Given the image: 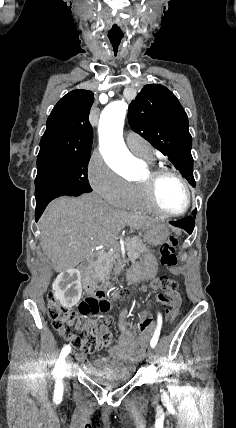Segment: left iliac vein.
Returning <instances> with one entry per match:
<instances>
[{
  "label": "left iliac vein",
  "instance_id": "left-iliac-vein-1",
  "mask_svg": "<svg viewBox=\"0 0 236 428\" xmlns=\"http://www.w3.org/2000/svg\"><path fill=\"white\" fill-rule=\"evenodd\" d=\"M158 356V353L155 350H152L149 353V356L145 358V363L149 365V367H152L154 361L156 360V357Z\"/></svg>",
  "mask_w": 236,
  "mask_h": 428
}]
</instances>
